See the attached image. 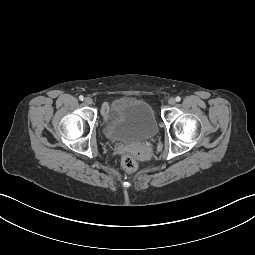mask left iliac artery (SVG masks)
Masks as SVG:
<instances>
[{
  "label": "left iliac artery",
  "instance_id": "left-iliac-artery-1",
  "mask_svg": "<svg viewBox=\"0 0 255 255\" xmlns=\"http://www.w3.org/2000/svg\"><path fill=\"white\" fill-rule=\"evenodd\" d=\"M176 101H177V102L181 101V97L177 96V97H176Z\"/></svg>",
  "mask_w": 255,
  "mask_h": 255
}]
</instances>
